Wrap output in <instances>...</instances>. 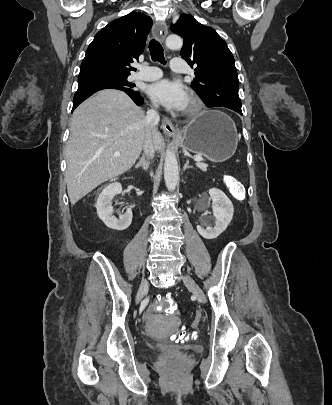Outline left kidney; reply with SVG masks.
Wrapping results in <instances>:
<instances>
[{
    "label": "left kidney",
    "mask_w": 332,
    "mask_h": 405,
    "mask_svg": "<svg viewBox=\"0 0 332 405\" xmlns=\"http://www.w3.org/2000/svg\"><path fill=\"white\" fill-rule=\"evenodd\" d=\"M209 195L212 200L213 216L215 225L212 227L208 221L202 220V225L197 226V231L205 239L217 238L230 224L234 208L231 200L219 189L211 188Z\"/></svg>",
    "instance_id": "1"
}]
</instances>
